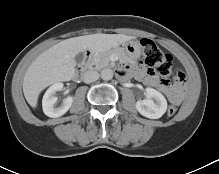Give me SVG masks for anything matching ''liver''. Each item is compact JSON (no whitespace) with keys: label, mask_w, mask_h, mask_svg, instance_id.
I'll return each instance as SVG.
<instances>
[{"label":"liver","mask_w":219,"mask_h":174,"mask_svg":"<svg viewBox=\"0 0 219 174\" xmlns=\"http://www.w3.org/2000/svg\"><path fill=\"white\" fill-rule=\"evenodd\" d=\"M124 34H92L69 38L39 55L27 69L23 93L28 104L35 108L42 90L49 85L70 81L75 76V57L84 51L92 54L109 51L133 39Z\"/></svg>","instance_id":"6515ba94"}]
</instances>
